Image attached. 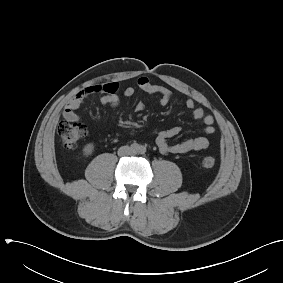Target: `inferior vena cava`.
<instances>
[{
    "mask_svg": "<svg viewBox=\"0 0 283 283\" xmlns=\"http://www.w3.org/2000/svg\"><path fill=\"white\" fill-rule=\"evenodd\" d=\"M132 154H134V151L129 146H122L118 149L119 156H127V155H132Z\"/></svg>",
    "mask_w": 283,
    "mask_h": 283,
    "instance_id": "1",
    "label": "inferior vena cava"
}]
</instances>
